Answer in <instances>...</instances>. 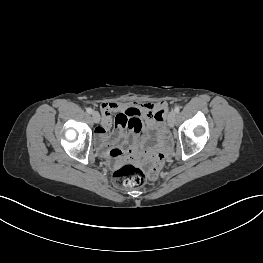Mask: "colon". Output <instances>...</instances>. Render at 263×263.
<instances>
[{"label":"colon","instance_id":"obj_1","mask_svg":"<svg viewBox=\"0 0 263 263\" xmlns=\"http://www.w3.org/2000/svg\"><path fill=\"white\" fill-rule=\"evenodd\" d=\"M163 162L164 159L162 160V165ZM145 179L146 176L144 171L131 163L116 168L112 174L113 183L122 189H132L141 186L145 182Z\"/></svg>","mask_w":263,"mask_h":263}]
</instances>
